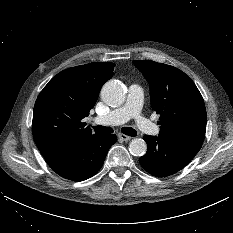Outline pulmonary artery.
<instances>
[{"label":"pulmonary artery","mask_w":233,"mask_h":233,"mask_svg":"<svg viewBox=\"0 0 233 233\" xmlns=\"http://www.w3.org/2000/svg\"><path fill=\"white\" fill-rule=\"evenodd\" d=\"M144 100V90L133 84L128 89L126 101L123 105L112 109L106 114L99 115L95 120L100 124L118 125L134 119L136 126L148 135H157L159 128L141 115Z\"/></svg>","instance_id":"obj_1"}]
</instances>
